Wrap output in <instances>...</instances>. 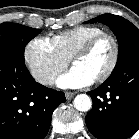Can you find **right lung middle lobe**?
I'll use <instances>...</instances> for the list:
<instances>
[{"mask_svg":"<svg viewBox=\"0 0 139 139\" xmlns=\"http://www.w3.org/2000/svg\"><path fill=\"white\" fill-rule=\"evenodd\" d=\"M40 32L41 29L21 24L11 22L0 24V54H10L24 59V47Z\"/></svg>","mask_w":139,"mask_h":139,"instance_id":"right-lung-middle-lobe-1","label":"right lung middle lobe"}]
</instances>
